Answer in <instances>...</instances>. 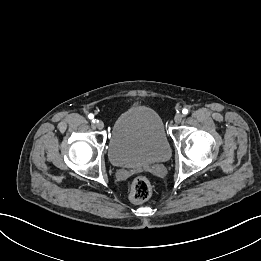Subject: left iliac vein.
Masks as SVG:
<instances>
[{"label":"left iliac vein","mask_w":261,"mask_h":261,"mask_svg":"<svg viewBox=\"0 0 261 261\" xmlns=\"http://www.w3.org/2000/svg\"><path fill=\"white\" fill-rule=\"evenodd\" d=\"M184 116L181 113L175 115L174 120L176 123H180L183 120Z\"/></svg>","instance_id":"4c4485c4"}]
</instances>
